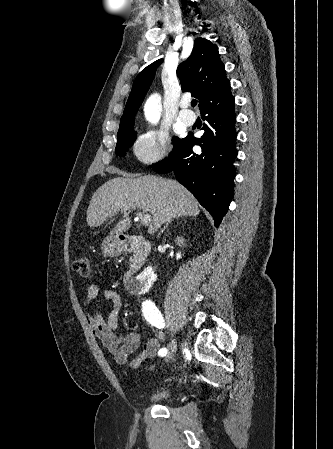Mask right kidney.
<instances>
[{"label": "right kidney", "mask_w": 333, "mask_h": 449, "mask_svg": "<svg viewBox=\"0 0 333 449\" xmlns=\"http://www.w3.org/2000/svg\"><path fill=\"white\" fill-rule=\"evenodd\" d=\"M181 256V252H178L176 254V259H180ZM136 280L135 292L138 294H143L149 291L153 283L157 280V274L153 271L151 266H148L136 277Z\"/></svg>", "instance_id": "right-kidney-1"}]
</instances>
